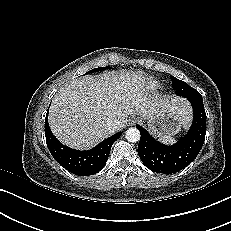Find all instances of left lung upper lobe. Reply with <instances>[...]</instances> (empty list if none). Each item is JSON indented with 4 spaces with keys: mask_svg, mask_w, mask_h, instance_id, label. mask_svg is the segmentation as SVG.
<instances>
[{
    "mask_svg": "<svg viewBox=\"0 0 231 231\" xmlns=\"http://www.w3.org/2000/svg\"><path fill=\"white\" fill-rule=\"evenodd\" d=\"M172 80L173 89L175 93L179 96H183L186 98L189 97H202L201 94L191 86H189L186 82L181 81L173 76L170 77Z\"/></svg>",
    "mask_w": 231,
    "mask_h": 231,
    "instance_id": "1",
    "label": "left lung upper lobe"
}]
</instances>
